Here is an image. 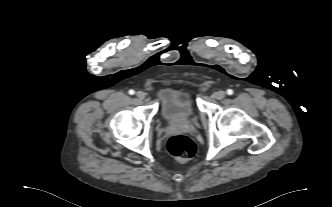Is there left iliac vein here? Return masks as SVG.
I'll list each match as a JSON object with an SVG mask.
<instances>
[{"label": "left iliac vein", "mask_w": 332, "mask_h": 207, "mask_svg": "<svg viewBox=\"0 0 332 207\" xmlns=\"http://www.w3.org/2000/svg\"><path fill=\"white\" fill-rule=\"evenodd\" d=\"M226 93L224 91H217L213 94V97L217 100H221L225 97Z\"/></svg>", "instance_id": "4c4485c4"}]
</instances>
